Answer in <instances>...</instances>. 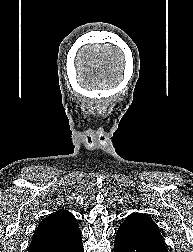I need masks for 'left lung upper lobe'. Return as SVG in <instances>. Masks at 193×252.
Returning <instances> with one entry per match:
<instances>
[{"label": "left lung upper lobe", "mask_w": 193, "mask_h": 252, "mask_svg": "<svg viewBox=\"0 0 193 252\" xmlns=\"http://www.w3.org/2000/svg\"><path fill=\"white\" fill-rule=\"evenodd\" d=\"M122 228H147L159 231L156 223L145 214H131L127 219L121 224Z\"/></svg>", "instance_id": "obj_1"}]
</instances>
